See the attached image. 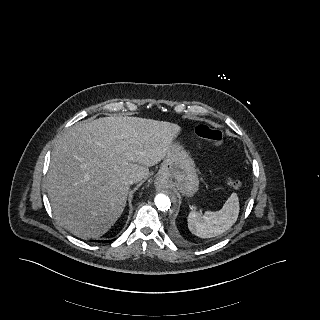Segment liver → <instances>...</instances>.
Listing matches in <instances>:
<instances>
[{"mask_svg":"<svg viewBox=\"0 0 320 320\" xmlns=\"http://www.w3.org/2000/svg\"><path fill=\"white\" fill-rule=\"evenodd\" d=\"M180 131L174 123L128 116L69 128L52 152L46 177L58 223L82 239L105 234L124 211L128 178H145Z\"/></svg>","mask_w":320,"mask_h":320,"instance_id":"1","label":"liver"}]
</instances>
